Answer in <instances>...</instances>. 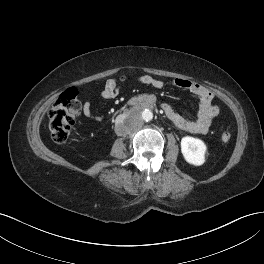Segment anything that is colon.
<instances>
[{
  "instance_id": "1",
  "label": "colon",
  "mask_w": 264,
  "mask_h": 264,
  "mask_svg": "<svg viewBox=\"0 0 264 264\" xmlns=\"http://www.w3.org/2000/svg\"><path fill=\"white\" fill-rule=\"evenodd\" d=\"M113 86L120 88L128 84L126 77L113 79L110 81ZM80 104L77 100V91L70 88L64 91L49 111L48 127L52 139L57 143H66L75 123V119L80 112ZM221 139L227 142L231 139L230 131H224Z\"/></svg>"
}]
</instances>
